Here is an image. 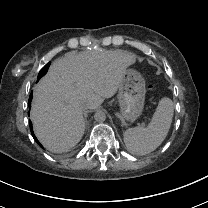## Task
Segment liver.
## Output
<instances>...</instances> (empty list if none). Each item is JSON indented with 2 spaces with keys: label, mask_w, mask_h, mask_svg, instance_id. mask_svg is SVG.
<instances>
[{
  "label": "liver",
  "mask_w": 208,
  "mask_h": 208,
  "mask_svg": "<svg viewBox=\"0 0 208 208\" xmlns=\"http://www.w3.org/2000/svg\"><path fill=\"white\" fill-rule=\"evenodd\" d=\"M136 56L120 51H88L56 60L35 86L32 120L36 135L53 152L67 151L85 131L81 104L96 109L117 92Z\"/></svg>",
  "instance_id": "obj_1"
}]
</instances>
